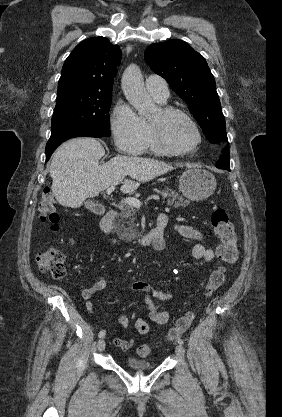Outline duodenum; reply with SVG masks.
I'll return each mask as SVG.
<instances>
[{
	"label": "duodenum",
	"mask_w": 282,
	"mask_h": 417,
	"mask_svg": "<svg viewBox=\"0 0 282 417\" xmlns=\"http://www.w3.org/2000/svg\"><path fill=\"white\" fill-rule=\"evenodd\" d=\"M116 211L111 209L102 217L100 222L101 231L113 242L116 241V235L113 230V221L116 218ZM163 234L162 229L159 227L154 228L152 231L136 236L133 241L140 247H146L152 245L157 249H163L165 246L164 242L158 243L162 240Z\"/></svg>",
	"instance_id": "1"
}]
</instances>
